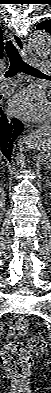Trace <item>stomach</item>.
<instances>
[{"instance_id":"1","label":"stomach","mask_w":51,"mask_h":393,"mask_svg":"<svg viewBox=\"0 0 51 393\" xmlns=\"http://www.w3.org/2000/svg\"><path fill=\"white\" fill-rule=\"evenodd\" d=\"M45 153H46V154H48V156H47V157H48V159H50V153H48V152H45Z\"/></svg>"}]
</instances>
